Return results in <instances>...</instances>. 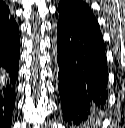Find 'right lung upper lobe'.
Returning a JSON list of instances; mask_svg holds the SVG:
<instances>
[{"instance_id": "1", "label": "right lung upper lobe", "mask_w": 125, "mask_h": 128, "mask_svg": "<svg viewBox=\"0 0 125 128\" xmlns=\"http://www.w3.org/2000/svg\"><path fill=\"white\" fill-rule=\"evenodd\" d=\"M14 22V17L9 16V7L5 4V2L0 0V29Z\"/></svg>"}]
</instances>
